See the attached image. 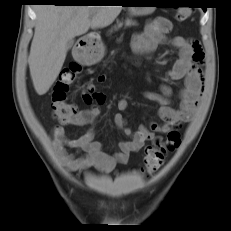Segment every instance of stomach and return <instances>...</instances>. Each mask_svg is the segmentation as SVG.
Segmentation results:
<instances>
[{"mask_svg":"<svg viewBox=\"0 0 231 231\" xmlns=\"http://www.w3.org/2000/svg\"><path fill=\"white\" fill-rule=\"evenodd\" d=\"M137 4H157L155 0H136ZM156 7H129V12L133 16L148 15L155 10ZM104 45L101 40H96L94 45H90L83 53L82 61L84 64L92 65L100 61L104 55Z\"/></svg>","mask_w":231,"mask_h":231,"instance_id":"0dacf381","label":"stomach"}]
</instances>
